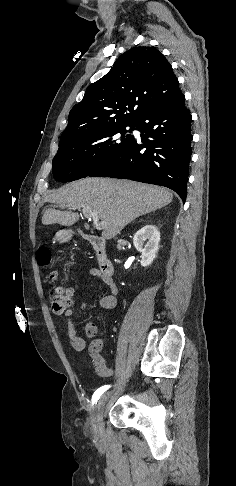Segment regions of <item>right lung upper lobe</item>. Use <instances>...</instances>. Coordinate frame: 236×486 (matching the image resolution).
<instances>
[{
    "instance_id": "cb5924a9",
    "label": "right lung upper lobe",
    "mask_w": 236,
    "mask_h": 486,
    "mask_svg": "<svg viewBox=\"0 0 236 486\" xmlns=\"http://www.w3.org/2000/svg\"><path fill=\"white\" fill-rule=\"evenodd\" d=\"M183 94L172 66L155 47H134L88 86L69 113L60 143L116 125L133 124L149 107ZM59 143V144H60Z\"/></svg>"
}]
</instances>
